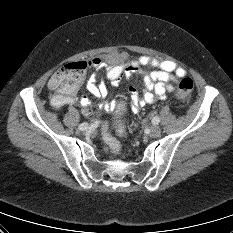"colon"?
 I'll return each instance as SVG.
<instances>
[{"mask_svg": "<svg viewBox=\"0 0 233 233\" xmlns=\"http://www.w3.org/2000/svg\"><path fill=\"white\" fill-rule=\"evenodd\" d=\"M89 64L86 61H78L67 63L53 74L54 84L65 92H74L78 90L83 82L86 70ZM194 88V82L191 78H183L179 81L176 88V96L184 99L191 94ZM116 112V120L114 130L110 128L108 123L103 126L104 141L109 149L119 154L121 152V144L119 138L125 135V125L123 115L125 112V104L122 100L116 101L114 106Z\"/></svg>", "mask_w": 233, "mask_h": 233, "instance_id": "1", "label": "colon"}]
</instances>
